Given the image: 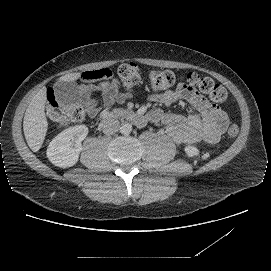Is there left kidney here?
I'll list each match as a JSON object with an SVG mask.
<instances>
[{
    "label": "left kidney",
    "instance_id": "1",
    "mask_svg": "<svg viewBox=\"0 0 271 271\" xmlns=\"http://www.w3.org/2000/svg\"><path fill=\"white\" fill-rule=\"evenodd\" d=\"M184 150L188 157H194L199 155V150L195 146L188 145L185 147Z\"/></svg>",
    "mask_w": 271,
    "mask_h": 271
}]
</instances>
